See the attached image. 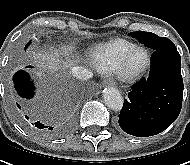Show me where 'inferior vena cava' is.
<instances>
[{
	"label": "inferior vena cava",
	"mask_w": 190,
	"mask_h": 165,
	"mask_svg": "<svg viewBox=\"0 0 190 165\" xmlns=\"http://www.w3.org/2000/svg\"><path fill=\"white\" fill-rule=\"evenodd\" d=\"M72 74L79 80H88L92 77V72L86 69L85 67H73Z\"/></svg>",
	"instance_id": "inferior-vena-cava-1"
}]
</instances>
